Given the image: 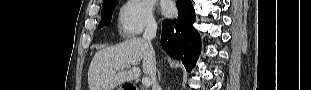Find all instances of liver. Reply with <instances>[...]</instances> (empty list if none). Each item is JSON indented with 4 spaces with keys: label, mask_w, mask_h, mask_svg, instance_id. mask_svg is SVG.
I'll use <instances>...</instances> for the list:
<instances>
[{
    "label": "liver",
    "mask_w": 311,
    "mask_h": 90,
    "mask_svg": "<svg viewBox=\"0 0 311 90\" xmlns=\"http://www.w3.org/2000/svg\"><path fill=\"white\" fill-rule=\"evenodd\" d=\"M151 76L156 62L155 51L143 38H132L115 46L99 50L94 55L88 70L89 90H114L120 84L137 79L141 69ZM127 66H133L124 70Z\"/></svg>",
    "instance_id": "obj_1"
}]
</instances>
